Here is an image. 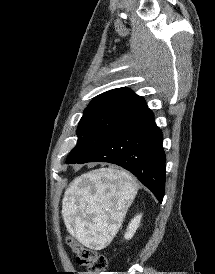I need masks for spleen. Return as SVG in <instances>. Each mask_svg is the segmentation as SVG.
Instances as JSON below:
<instances>
[{
	"label": "spleen",
	"instance_id": "1",
	"mask_svg": "<svg viewBox=\"0 0 215 274\" xmlns=\"http://www.w3.org/2000/svg\"><path fill=\"white\" fill-rule=\"evenodd\" d=\"M138 190L127 172L100 169L74 179L65 192L62 214L74 225L73 235L83 244L104 246L114 235Z\"/></svg>",
	"mask_w": 215,
	"mask_h": 274
}]
</instances>
